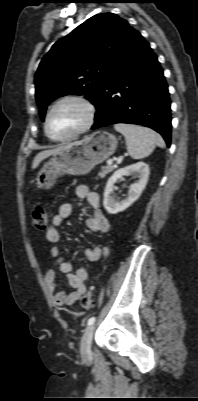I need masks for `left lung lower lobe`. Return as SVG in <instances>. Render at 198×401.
I'll list each match as a JSON object with an SVG mask.
<instances>
[{
	"instance_id": "obj_1",
	"label": "left lung lower lobe",
	"mask_w": 198,
	"mask_h": 401,
	"mask_svg": "<svg viewBox=\"0 0 198 401\" xmlns=\"http://www.w3.org/2000/svg\"><path fill=\"white\" fill-rule=\"evenodd\" d=\"M95 106L91 129L115 123L144 125L160 133L170 146L168 87L155 53L139 32L113 67Z\"/></svg>"
}]
</instances>
